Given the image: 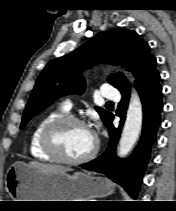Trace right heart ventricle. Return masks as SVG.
I'll return each mask as SVG.
<instances>
[{"instance_id":"obj_1","label":"right heart ventricle","mask_w":176,"mask_h":211,"mask_svg":"<svg viewBox=\"0 0 176 211\" xmlns=\"http://www.w3.org/2000/svg\"><path fill=\"white\" fill-rule=\"evenodd\" d=\"M66 110L63 108L50 111L43 115L34 125L28 142L29 152L32 157L40 161H54V158L48 154L42 147V133L45 126L53 119L64 115Z\"/></svg>"}]
</instances>
